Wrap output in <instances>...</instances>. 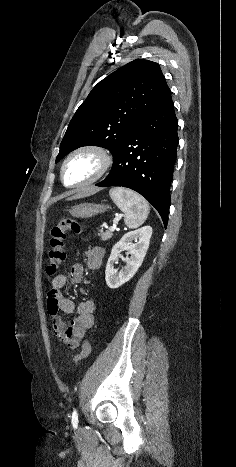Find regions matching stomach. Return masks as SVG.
<instances>
[{
  "label": "stomach",
  "mask_w": 236,
  "mask_h": 467,
  "mask_svg": "<svg viewBox=\"0 0 236 467\" xmlns=\"http://www.w3.org/2000/svg\"><path fill=\"white\" fill-rule=\"evenodd\" d=\"M109 206L95 203H82L71 207L69 213L76 218H90L105 212Z\"/></svg>",
  "instance_id": "0dacf381"
}]
</instances>
